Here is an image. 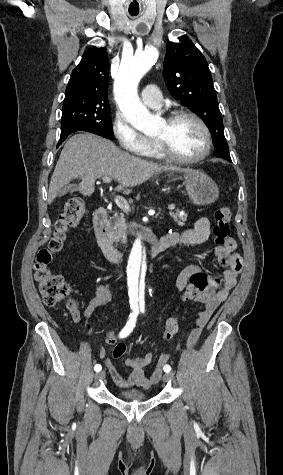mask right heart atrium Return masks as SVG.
I'll use <instances>...</instances> for the list:
<instances>
[{"instance_id":"right-heart-atrium-1","label":"right heart atrium","mask_w":283,"mask_h":475,"mask_svg":"<svg viewBox=\"0 0 283 475\" xmlns=\"http://www.w3.org/2000/svg\"><path fill=\"white\" fill-rule=\"evenodd\" d=\"M111 131L118 142L117 151L123 155H143V158L149 155L152 141L139 133L120 112L113 117Z\"/></svg>"}]
</instances>
